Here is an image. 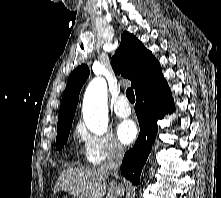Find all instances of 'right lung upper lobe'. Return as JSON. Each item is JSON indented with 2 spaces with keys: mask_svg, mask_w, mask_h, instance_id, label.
I'll return each instance as SVG.
<instances>
[{
  "mask_svg": "<svg viewBox=\"0 0 221 198\" xmlns=\"http://www.w3.org/2000/svg\"><path fill=\"white\" fill-rule=\"evenodd\" d=\"M115 72L131 80L137 94L162 73L160 64L152 53L133 35L124 31L121 44L111 59ZM89 76L87 65L78 66L69 76L63 93L57 131L70 127L73 122L79 93Z\"/></svg>",
  "mask_w": 221,
  "mask_h": 198,
  "instance_id": "cb5924a9",
  "label": "right lung upper lobe"
}]
</instances>
